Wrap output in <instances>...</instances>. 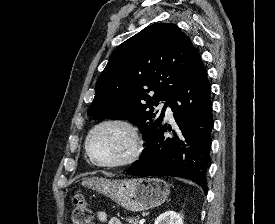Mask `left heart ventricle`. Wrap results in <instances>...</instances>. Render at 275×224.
I'll return each instance as SVG.
<instances>
[{
  "instance_id": "b2bd125f",
  "label": "left heart ventricle",
  "mask_w": 275,
  "mask_h": 224,
  "mask_svg": "<svg viewBox=\"0 0 275 224\" xmlns=\"http://www.w3.org/2000/svg\"><path fill=\"white\" fill-rule=\"evenodd\" d=\"M133 144L129 132L119 125L98 129L90 140L93 155L101 162L112 163L126 158Z\"/></svg>"
}]
</instances>
